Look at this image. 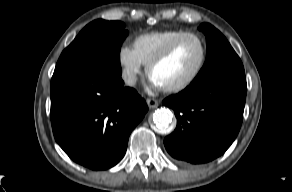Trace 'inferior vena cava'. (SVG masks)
Here are the masks:
<instances>
[{
    "label": "inferior vena cava",
    "mask_w": 292,
    "mask_h": 192,
    "mask_svg": "<svg viewBox=\"0 0 292 192\" xmlns=\"http://www.w3.org/2000/svg\"><path fill=\"white\" fill-rule=\"evenodd\" d=\"M124 81L127 85L133 86L136 84L137 77L134 74L124 75Z\"/></svg>",
    "instance_id": "1"
}]
</instances>
